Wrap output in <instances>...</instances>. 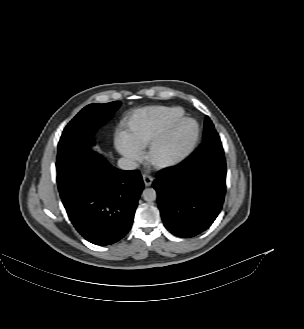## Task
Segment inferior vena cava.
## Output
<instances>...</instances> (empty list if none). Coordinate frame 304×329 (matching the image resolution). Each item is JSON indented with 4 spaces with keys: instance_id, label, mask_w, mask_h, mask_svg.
I'll use <instances>...</instances> for the list:
<instances>
[{
    "instance_id": "1",
    "label": "inferior vena cava",
    "mask_w": 304,
    "mask_h": 329,
    "mask_svg": "<svg viewBox=\"0 0 304 329\" xmlns=\"http://www.w3.org/2000/svg\"><path fill=\"white\" fill-rule=\"evenodd\" d=\"M118 166H119V168H121L123 170H133L138 167V164L133 159L120 158L118 160Z\"/></svg>"
}]
</instances>
